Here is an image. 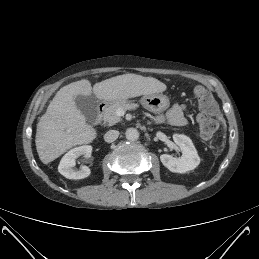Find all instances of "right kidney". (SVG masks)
Segmentation results:
<instances>
[{
    "label": "right kidney",
    "mask_w": 259,
    "mask_h": 259,
    "mask_svg": "<svg viewBox=\"0 0 259 259\" xmlns=\"http://www.w3.org/2000/svg\"><path fill=\"white\" fill-rule=\"evenodd\" d=\"M92 152V146L83 145L71 149L66 153L58 166V171L64 177L68 179H83L90 175L91 170L87 166H82L80 170H74L73 167L76 165V159L81 156H90Z\"/></svg>",
    "instance_id": "right-kidney-1"
}]
</instances>
